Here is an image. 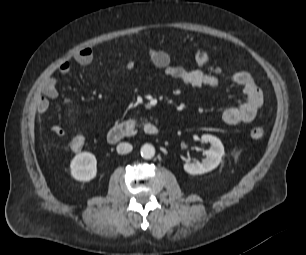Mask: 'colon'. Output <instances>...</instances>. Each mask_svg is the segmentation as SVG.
<instances>
[{"instance_id":"1","label":"colon","mask_w":306,"mask_h":255,"mask_svg":"<svg viewBox=\"0 0 306 255\" xmlns=\"http://www.w3.org/2000/svg\"><path fill=\"white\" fill-rule=\"evenodd\" d=\"M265 134V130L260 125H255L251 128L250 135L253 139H261ZM85 145V139L82 135H77L69 143V148L73 152L80 151Z\"/></svg>"}]
</instances>
